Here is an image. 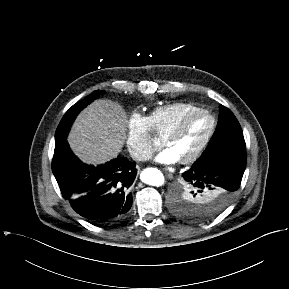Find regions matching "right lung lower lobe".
Wrapping results in <instances>:
<instances>
[{
  "label": "right lung lower lobe",
  "instance_id": "right-lung-lower-lobe-1",
  "mask_svg": "<svg viewBox=\"0 0 289 289\" xmlns=\"http://www.w3.org/2000/svg\"><path fill=\"white\" fill-rule=\"evenodd\" d=\"M135 166L120 156L96 167L86 165L72 153L66 137L55 143L52 171L62 195L94 224L114 222L130 210Z\"/></svg>",
  "mask_w": 289,
  "mask_h": 289
}]
</instances>
